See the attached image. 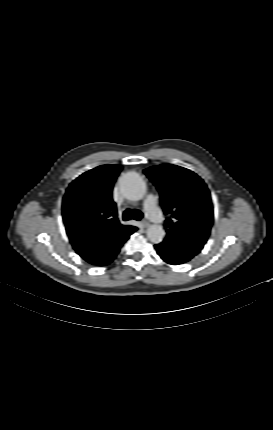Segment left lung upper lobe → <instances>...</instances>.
Returning <instances> with one entry per match:
<instances>
[{"mask_svg":"<svg viewBox=\"0 0 273 430\" xmlns=\"http://www.w3.org/2000/svg\"><path fill=\"white\" fill-rule=\"evenodd\" d=\"M161 197L171 250L190 260L206 243L213 223V206L204 181L194 172L171 164L144 170Z\"/></svg>","mask_w":273,"mask_h":430,"instance_id":"left-lung-upper-lobe-1","label":"left lung upper lobe"}]
</instances>
